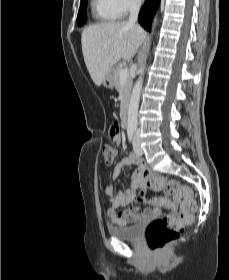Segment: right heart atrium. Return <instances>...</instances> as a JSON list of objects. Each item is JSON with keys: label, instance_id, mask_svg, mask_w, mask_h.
I'll list each match as a JSON object with an SVG mask.
<instances>
[{"label": "right heart atrium", "instance_id": "d8ad5b80", "mask_svg": "<svg viewBox=\"0 0 229 280\" xmlns=\"http://www.w3.org/2000/svg\"><path fill=\"white\" fill-rule=\"evenodd\" d=\"M108 5L114 10L118 18H124L129 13L136 10L141 0H106Z\"/></svg>", "mask_w": 229, "mask_h": 280}]
</instances>
